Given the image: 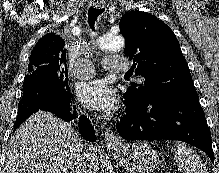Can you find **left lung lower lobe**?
<instances>
[{"instance_id":"0a47b994","label":"left lung lower lobe","mask_w":219,"mask_h":173,"mask_svg":"<svg viewBox=\"0 0 219 173\" xmlns=\"http://www.w3.org/2000/svg\"><path fill=\"white\" fill-rule=\"evenodd\" d=\"M125 104L126 115L116 124L122 138L181 140L204 151L214 163L211 134L197 94L153 104Z\"/></svg>"}]
</instances>
